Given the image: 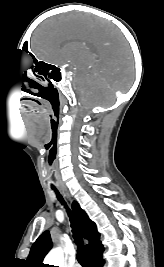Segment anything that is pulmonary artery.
I'll return each instance as SVG.
<instances>
[{"instance_id":"pulmonary-artery-1","label":"pulmonary artery","mask_w":164,"mask_h":267,"mask_svg":"<svg viewBox=\"0 0 164 267\" xmlns=\"http://www.w3.org/2000/svg\"><path fill=\"white\" fill-rule=\"evenodd\" d=\"M73 267H80V265L79 264H75Z\"/></svg>"}]
</instances>
